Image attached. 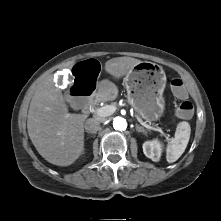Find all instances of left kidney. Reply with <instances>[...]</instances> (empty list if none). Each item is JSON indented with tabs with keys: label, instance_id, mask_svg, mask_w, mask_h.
<instances>
[{
	"label": "left kidney",
	"instance_id": "5707ae66",
	"mask_svg": "<svg viewBox=\"0 0 221 221\" xmlns=\"http://www.w3.org/2000/svg\"><path fill=\"white\" fill-rule=\"evenodd\" d=\"M143 152L146 157L156 162L161 157L162 146L157 140L146 141L143 144Z\"/></svg>",
	"mask_w": 221,
	"mask_h": 221
}]
</instances>
